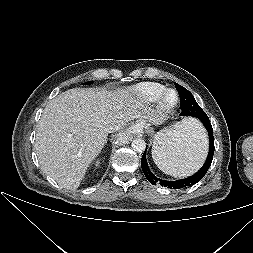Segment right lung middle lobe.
Masks as SVG:
<instances>
[{
	"label": "right lung middle lobe",
	"mask_w": 253,
	"mask_h": 253,
	"mask_svg": "<svg viewBox=\"0 0 253 253\" xmlns=\"http://www.w3.org/2000/svg\"><path fill=\"white\" fill-rule=\"evenodd\" d=\"M93 83V81H89V82H86V83H84V84H86V85H91Z\"/></svg>",
	"instance_id": "right-lung-middle-lobe-1"
}]
</instances>
